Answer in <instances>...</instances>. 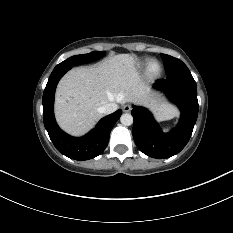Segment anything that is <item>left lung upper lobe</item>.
Returning a JSON list of instances; mask_svg holds the SVG:
<instances>
[{"instance_id": "5c2ea615", "label": "left lung upper lobe", "mask_w": 233, "mask_h": 233, "mask_svg": "<svg viewBox=\"0 0 233 233\" xmlns=\"http://www.w3.org/2000/svg\"><path fill=\"white\" fill-rule=\"evenodd\" d=\"M161 56L167 76L191 75L189 69L181 60L166 54H161Z\"/></svg>"}]
</instances>
